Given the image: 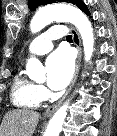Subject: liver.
<instances>
[{
  "label": "liver",
  "instance_id": "liver-1",
  "mask_svg": "<svg viewBox=\"0 0 117 136\" xmlns=\"http://www.w3.org/2000/svg\"><path fill=\"white\" fill-rule=\"evenodd\" d=\"M39 113L29 109H14L6 113L0 136H32L39 121Z\"/></svg>",
  "mask_w": 117,
  "mask_h": 136
}]
</instances>
